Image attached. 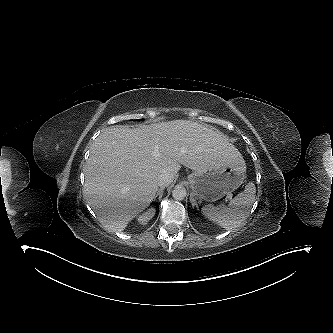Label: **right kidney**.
Here are the masks:
<instances>
[{"mask_svg": "<svg viewBox=\"0 0 333 333\" xmlns=\"http://www.w3.org/2000/svg\"><path fill=\"white\" fill-rule=\"evenodd\" d=\"M155 212L156 210L154 208H149L146 212L142 213L137 217L138 223L146 225L149 222V220L153 218Z\"/></svg>", "mask_w": 333, "mask_h": 333, "instance_id": "ca27d5eb", "label": "right kidney"}]
</instances>
